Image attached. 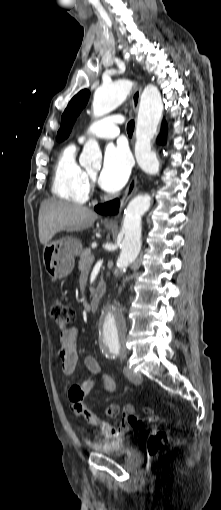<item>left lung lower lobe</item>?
<instances>
[{
  "label": "left lung lower lobe",
  "instance_id": "0a47b994",
  "mask_svg": "<svg viewBox=\"0 0 221 510\" xmlns=\"http://www.w3.org/2000/svg\"><path fill=\"white\" fill-rule=\"evenodd\" d=\"M165 140H166V123H164L162 132L158 138V142L161 144H164ZM119 205H120V202L118 199H116V200L95 206V211L100 214H105V215L115 214L118 211Z\"/></svg>",
  "mask_w": 221,
  "mask_h": 510
}]
</instances>
